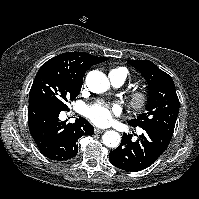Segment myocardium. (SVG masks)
Returning <instances> with one entry per match:
<instances>
[{
    "mask_svg": "<svg viewBox=\"0 0 199 199\" xmlns=\"http://www.w3.org/2000/svg\"><path fill=\"white\" fill-rule=\"evenodd\" d=\"M150 95L145 89H136L131 92L128 100L129 107L135 112H142L149 103Z\"/></svg>",
    "mask_w": 199,
    "mask_h": 199,
    "instance_id": "myocardium-1",
    "label": "myocardium"
}]
</instances>
